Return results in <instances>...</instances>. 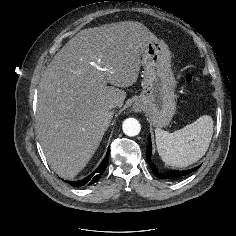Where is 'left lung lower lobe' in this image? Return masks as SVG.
<instances>
[{
	"label": "left lung lower lobe",
	"mask_w": 236,
	"mask_h": 236,
	"mask_svg": "<svg viewBox=\"0 0 236 236\" xmlns=\"http://www.w3.org/2000/svg\"><path fill=\"white\" fill-rule=\"evenodd\" d=\"M151 154H152V143H151V139L149 136V141H148V147H147V152H146V158H147V162L149 164V166L151 167L152 171L154 172V174L162 179H169V180H174V179H178L181 178L191 172H193L194 170H196L198 167L189 169V170H184V171H178V170H171L168 172H159L157 167L155 166V164L152 162L151 159Z\"/></svg>",
	"instance_id": "left-lung-lower-lobe-1"
}]
</instances>
